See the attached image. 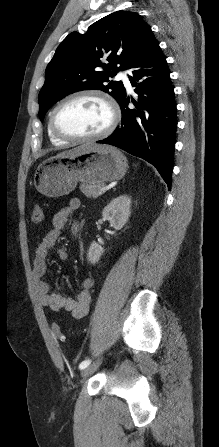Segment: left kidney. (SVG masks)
Here are the masks:
<instances>
[{"label":"left kidney","mask_w":219,"mask_h":447,"mask_svg":"<svg viewBox=\"0 0 219 447\" xmlns=\"http://www.w3.org/2000/svg\"><path fill=\"white\" fill-rule=\"evenodd\" d=\"M130 208L131 198L127 195H121L104 207L102 216L109 221L111 227L120 230L128 221L131 214ZM103 253L104 249L96 242H92L87 253V259L94 265L100 260Z\"/></svg>","instance_id":"5707ae66"}]
</instances>
